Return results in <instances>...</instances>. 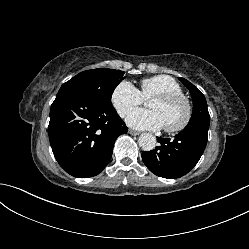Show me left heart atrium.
<instances>
[{
	"label": "left heart atrium",
	"instance_id": "obj_1",
	"mask_svg": "<svg viewBox=\"0 0 249 249\" xmlns=\"http://www.w3.org/2000/svg\"><path fill=\"white\" fill-rule=\"evenodd\" d=\"M127 124L139 130H158L164 126L161 116L154 110L134 109L126 119Z\"/></svg>",
	"mask_w": 249,
	"mask_h": 249
}]
</instances>
